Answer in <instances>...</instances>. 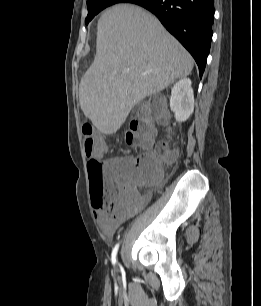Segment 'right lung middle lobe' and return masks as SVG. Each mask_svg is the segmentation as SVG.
Segmentation results:
<instances>
[{"label": "right lung middle lobe", "mask_w": 261, "mask_h": 306, "mask_svg": "<svg viewBox=\"0 0 261 306\" xmlns=\"http://www.w3.org/2000/svg\"><path fill=\"white\" fill-rule=\"evenodd\" d=\"M124 2L123 0H87L88 15L85 19V23L88 24L95 15L108 6L116 3Z\"/></svg>", "instance_id": "1"}]
</instances>
